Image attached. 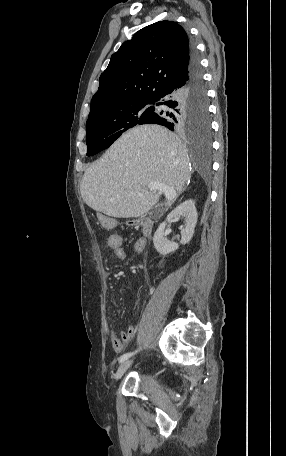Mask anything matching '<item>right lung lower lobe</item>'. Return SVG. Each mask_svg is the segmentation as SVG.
I'll use <instances>...</instances> for the list:
<instances>
[{"mask_svg":"<svg viewBox=\"0 0 286 456\" xmlns=\"http://www.w3.org/2000/svg\"><path fill=\"white\" fill-rule=\"evenodd\" d=\"M152 100L154 108L159 105L165 108L155 109L154 115L147 123L163 125L172 131L185 129L189 132L200 131L208 134L210 123L208 131L195 130V127H203L209 122V113L202 71L194 48L184 79Z\"/></svg>","mask_w":286,"mask_h":456,"instance_id":"1","label":"right lung lower lobe"}]
</instances>
